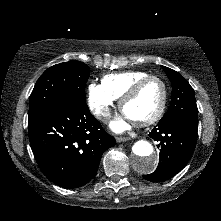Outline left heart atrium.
Masks as SVG:
<instances>
[{"mask_svg": "<svg viewBox=\"0 0 221 221\" xmlns=\"http://www.w3.org/2000/svg\"><path fill=\"white\" fill-rule=\"evenodd\" d=\"M127 119H129V118L126 116L125 119L113 121L111 123L112 130H114L115 132H123L124 130L128 129L129 124L126 121Z\"/></svg>", "mask_w": 221, "mask_h": 221, "instance_id": "39dd6f15", "label": "left heart atrium"}]
</instances>
